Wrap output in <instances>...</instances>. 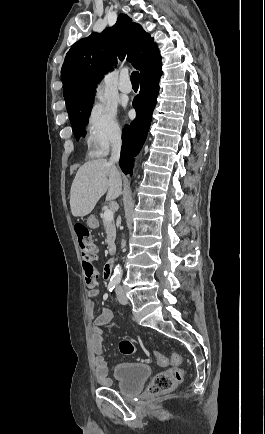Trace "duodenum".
Returning <instances> with one entry per match:
<instances>
[{"label": "duodenum", "instance_id": "obj_1", "mask_svg": "<svg viewBox=\"0 0 265 434\" xmlns=\"http://www.w3.org/2000/svg\"><path fill=\"white\" fill-rule=\"evenodd\" d=\"M114 260H108L105 265H104V270H103V277L108 280L111 278L112 273H113V267H114Z\"/></svg>", "mask_w": 265, "mask_h": 434}]
</instances>
